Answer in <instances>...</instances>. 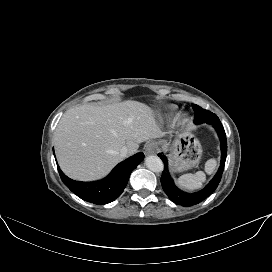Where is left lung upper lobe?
I'll use <instances>...</instances> for the list:
<instances>
[{
  "label": "left lung upper lobe",
  "instance_id": "5c2ea615",
  "mask_svg": "<svg viewBox=\"0 0 272 272\" xmlns=\"http://www.w3.org/2000/svg\"><path fill=\"white\" fill-rule=\"evenodd\" d=\"M192 107L194 109V114H195V116H194L195 117V119H194L195 124L204 123L208 120H211V119L217 117L212 112L205 110L196 104H192Z\"/></svg>",
  "mask_w": 272,
  "mask_h": 272
}]
</instances>
